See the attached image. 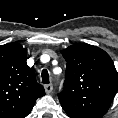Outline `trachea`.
Segmentation results:
<instances>
[{"label": "trachea", "instance_id": "obj_1", "mask_svg": "<svg viewBox=\"0 0 118 118\" xmlns=\"http://www.w3.org/2000/svg\"><path fill=\"white\" fill-rule=\"evenodd\" d=\"M41 76H42V83L48 84L49 83V74L46 69L42 70Z\"/></svg>", "mask_w": 118, "mask_h": 118}]
</instances>
